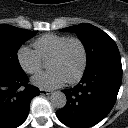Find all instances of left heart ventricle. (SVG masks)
Returning <instances> with one entry per match:
<instances>
[{
    "label": "left heart ventricle",
    "mask_w": 128,
    "mask_h": 128,
    "mask_svg": "<svg viewBox=\"0 0 128 128\" xmlns=\"http://www.w3.org/2000/svg\"><path fill=\"white\" fill-rule=\"evenodd\" d=\"M82 66V51L78 44H71L61 60L49 61L48 69L60 72L66 80L75 77Z\"/></svg>",
    "instance_id": "b2bd125f"
}]
</instances>
